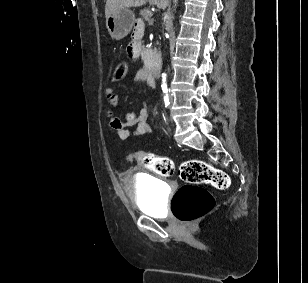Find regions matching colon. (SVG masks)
<instances>
[{
  "label": "colon",
  "mask_w": 308,
  "mask_h": 283,
  "mask_svg": "<svg viewBox=\"0 0 308 283\" xmlns=\"http://www.w3.org/2000/svg\"><path fill=\"white\" fill-rule=\"evenodd\" d=\"M127 72L128 64L119 61L114 67L113 78L123 79ZM130 160L161 176H171L175 172L174 162L165 156L138 152L131 155ZM178 173L184 184L177 189L172 198V212L182 222L197 220L213 209L215 200L202 185L225 189L230 183L224 171L197 159L183 162Z\"/></svg>",
  "instance_id": "1"
}]
</instances>
